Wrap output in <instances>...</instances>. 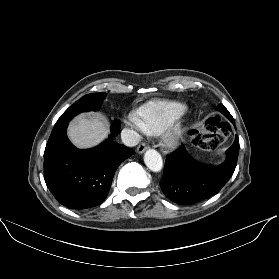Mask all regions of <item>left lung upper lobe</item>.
Returning a JSON list of instances; mask_svg holds the SVG:
<instances>
[{
    "label": "left lung upper lobe",
    "mask_w": 279,
    "mask_h": 279,
    "mask_svg": "<svg viewBox=\"0 0 279 279\" xmlns=\"http://www.w3.org/2000/svg\"><path fill=\"white\" fill-rule=\"evenodd\" d=\"M218 109H219L220 112H222L224 115H226V117H227L228 119H231V118H232L231 114L228 112V110H227L222 104H219V105H218ZM232 119H233V118H232Z\"/></svg>",
    "instance_id": "left-lung-upper-lobe-1"
}]
</instances>
